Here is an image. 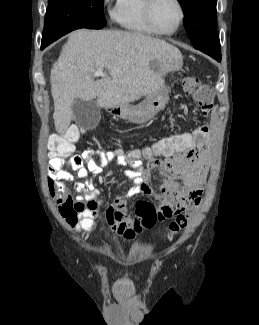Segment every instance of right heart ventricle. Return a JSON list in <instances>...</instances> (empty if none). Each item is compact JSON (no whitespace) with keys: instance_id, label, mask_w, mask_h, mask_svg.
Instances as JSON below:
<instances>
[{"instance_id":"e07e8e85","label":"right heart ventricle","mask_w":259,"mask_h":325,"mask_svg":"<svg viewBox=\"0 0 259 325\" xmlns=\"http://www.w3.org/2000/svg\"><path fill=\"white\" fill-rule=\"evenodd\" d=\"M145 0H116L113 19L123 28L141 34H155L144 15Z\"/></svg>"}]
</instances>
